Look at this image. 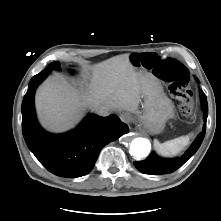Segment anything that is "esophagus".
I'll use <instances>...</instances> for the list:
<instances>
[{
	"label": "esophagus",
	"mask_w": 221,
	"mask_h": 221,
	"mask_svg": "<svg viewBox=\"0 0 221 221\" xmlns=\"http://www.w3.org/2000/svg\"><path fill=\"white\" fill-rule=\"evenodd\" d=\"M120 119L125 122V123H129L131 120V115L129 113L123 112L120 114Z\"/></svg>",
	"instance_id": "1"
}]
</instances>
